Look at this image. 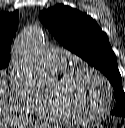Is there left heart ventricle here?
Listing matches in <instances>:
<instances>
[{
    "mask_svg": "<svg viewBox=\"0 0 125 128\" xmlns=\"http://www.w3.org/2000/svg\"><path fill=\"white\" fill-rule=\"evenodd\" d=\"M57 87V83L54 89ZM65 95L74 109L95 114L105 105L104 87L96 75L88 71L76 74L67 85Z\"/></svg>",
    "mask_w": 125,
    "mask_h": 128,
    "instance_id": "obj_1",
    "label": "left heart ventricle"
}]
</instances>
